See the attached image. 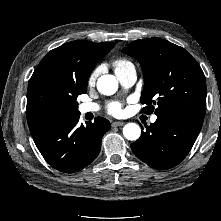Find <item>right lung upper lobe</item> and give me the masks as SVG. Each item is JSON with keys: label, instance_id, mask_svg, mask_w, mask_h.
Here are the masks:
<instances>
[{"label": "right lung upper lobe", "instance_id": "cb5924a9", "mask_svg": "<svg viewBox=\"0 0 221 221\" xmlns=\"http://www.w3.org/2000/svg\"><path fill=\"white\" fill-rule=\"evenodd\" d=\"M114 45L76 40L48 52L29 81L28 125L57 113L71 112L76 91L88 81L82 73L83 67L97 63Z\"/></svg>", "mask_w": 221, "mask_h": 221}]
</instances>
